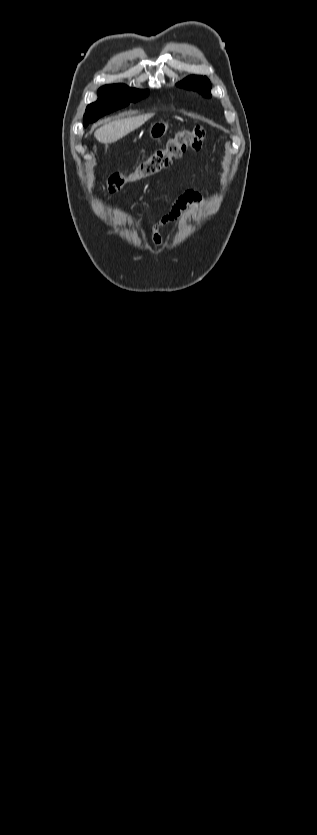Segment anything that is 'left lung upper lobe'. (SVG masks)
I'll return each instance as SVG.
<instances>
[{
	"label": "left lung upper lobe",
	"instance_id": "obj_1",
	"mask_svg": "<svg viewBox=\"0 0 317 835\" xmlns=\"http://www.w3.org/2000/svg\"><path fill=\"white\" fill-rule=\"evenodd\" d=\"M180 87H184L186 89H192L198 91L205 97H211L210 89L211 84L207 77L203 76H190L185 80L179 82L177 84Z\"/></svg>",
	"mask_w": 317,
	"mask_h": 835
}]
</instances>
